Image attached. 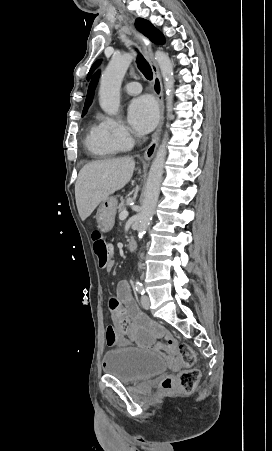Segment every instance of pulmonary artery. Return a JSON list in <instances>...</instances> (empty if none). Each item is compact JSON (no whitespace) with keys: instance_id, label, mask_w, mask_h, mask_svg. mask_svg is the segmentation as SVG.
Listing matches in <instances>:
<instances>
[{"instance_id":"obj_1","label":"pulmonary artery","mask_w":272,"mask_h":451,"mask_svg":"<svg viewBox=\"0 0 272 451\" xmlns=\"http://www.w3.org/2000/svg\"><path fill=\"white\" fill-rule=\"evenodd\" d=\"M141 86L137 82L128 83L125 86V91L129 95H137L141 92Z\"/></svg>"}]
</instances>
